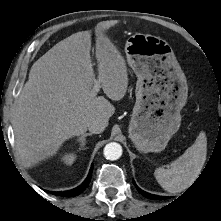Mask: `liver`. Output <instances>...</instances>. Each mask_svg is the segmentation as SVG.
<instances>
[{"label":"liver","instance_id":"6515ba94","mask_svg":"<svg viewBox=\"0 0 221 221\" xmlns=\"http://www.w3.org/2000/svg\"><path fill=\"white\" fill-rule=\"evenodd\" d=\"M117 20L95 26L98 79L106 96L121 100L128 88L124 57L106 35ZM91 31L58 42L31 67L17 101L13 127L16 149L27 167L57 153L73 136L100 120L108 125L115 107L93 93L95 74L90 56Z\"/></svg>","mask_w":221,"mask_h":221}]
</instances>
